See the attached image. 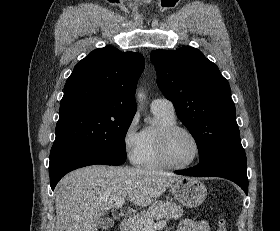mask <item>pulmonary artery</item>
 Masks as SVG:
<instances>
[{"mask_svg": "<svg viewBox=\"0 0 280 231\" xmlns=\"http://www.w3.org/2000/svg\"><path fill=\"white\" fill-rule=\"evenodd\" d=\"M153 113H159L168 116H175V108L173 103L166 98L154 99L151 103Z\"/></svg>", "mask_w": 280, "mask_h": 231, "instance_id": "obj_1", "label": "pulmonary artery"}]
</instances>
